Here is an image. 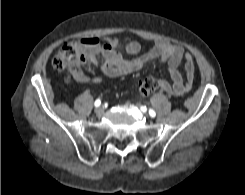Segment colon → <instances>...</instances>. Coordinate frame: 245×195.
<instances>
[{
    "label": "colon",
    "mask_w": 245,
    "mask_h": 195,
    "mask_svg": "<svg viewBox=\"0 0 245 195\" xmlns=\"http://www.w3.org/2000/svg\"><path fill=\"white\" fill-rule=\"evenodd\" d=\"M84 47L77 42L64 44L53 58L52 65L57 70H68L76 78L83 75V70L88 66V59ZM161 81L154 75L140 83L139 92L148 96L159 89Z\"/></svg>",
    "instance_id": "colon-1"
}]
</instances>
